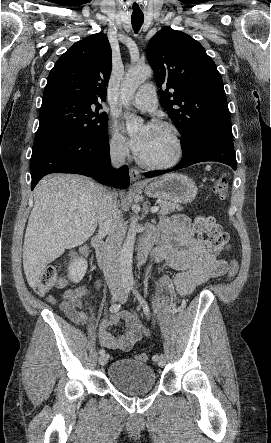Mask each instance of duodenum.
Returning a JSON list of instances; mask_svg holds the SVG:
<instances>
[{
	"mask_svg": "<svg viewBox=\"0 0 271 443\" xmlns=\"http://www.w3.org/2000/svg\"><path fill=\"white\" fill-rule=\"evenodd\" d=\"M93 246L102 269L106 273H110L114 267L117 257L115 241L112 239L104 241L101 238L96 237L93 240Z\"/></svg>",
	"mask_w": 271,
	"mask_h": 443,
	"instance_id": "1",
	"label": "duodenum"
}]
</instances>
